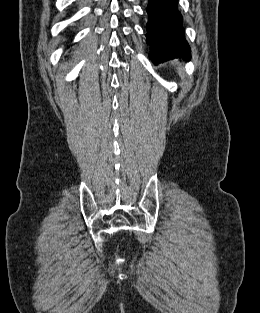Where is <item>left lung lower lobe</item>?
Wrapping results in <instances>:
<instances>
[{
    "mask_svg": "<svg viewBox=\"0 0 260 313\" xmlns=\"http://www.w3.org/2000/svg\"><path fill=\"white\" fill-rule=\"evenodd\" d=\"M147 42L154 64L173 58L190 60L191 51L182 28V15L177 0H149Z\"/></svg>",
    "mask_w": 260,
    "mask_h": 313,
    "instance_id": "1",
    "label": "left lung lower lobe"
}]
</instances>
